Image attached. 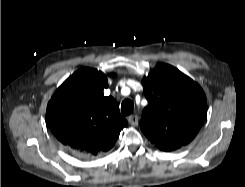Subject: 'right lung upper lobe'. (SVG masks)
<instances>
[{
    "instance_id": "cb5924a9",
    "label": "right lung upper lobe",
    "mask_w": 245,
    "mask_h": 187,
    "mask_svg": "<svg viewBox=\"0 0 245 187\" xmlns=\"http://www.w3.org/2000/svg\"><path fill=\"white\" fill-rule=\"evenodd\" d=\"M107 87L103 72L83 67L52 96L47 105V122L55 137L68 149L88 157L103 155L128 125L115 99L104 96Z\"/></svg>"
}]
</instances>
